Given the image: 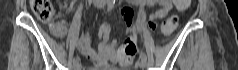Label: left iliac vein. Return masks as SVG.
Here are the masks:
<instances>
[{"label": "left iliac vein", "instance_id": "4c4485c4", "mask_svg": "<svg viewBox=\"0 0 238 70\" xmlns=\"http://www.w3.org/2000/svg\"><path fill=\"white\" fill-rule=\"evenodd\" d=\"M138 64H139V67L141 69H144L146 67V61L145 60L141 59Z\"/></svg>", "mask_w": 238, "mask_h": 70}]
</instances>
